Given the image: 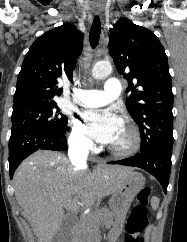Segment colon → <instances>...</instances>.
<instances>
[{
	"label": "colon",
	"instance_id": "colon-1",
	"mask_svg": "<svg viewBox=\"0 0 187 242\" xmlns=\"http://www.w3.org/2000/svg\"><path fill=\"white\" fill-rule=\"evenodd\" d=\"M150 199V188L143 187L137 194V205L132 209L127 220L126 233L120 242H143L142 233L147 220V205Z\"/></svg>",
	"mask_w": 187,
	"mask_h": 242
}]
</instances>
